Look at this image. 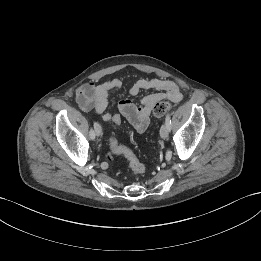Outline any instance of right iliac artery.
<instances>
[{"label": "right iliac artery", "instance_id": "obj_1", "mask_svg": "<svg viewBox=\"0 0 261 261\" xmlns=\"http://www.w3.org/2000/svg\"><path fill=\"white\" fill-rule=\"evenodd\" d=\"M98 125L97 122L94 123V128H96V126ZM89 136L91 139H94L95 138V133L94 131L91 129L90 132H89Z\"/></svg>", "mask_w": 261, "mask_h": 261}]
</instances>
